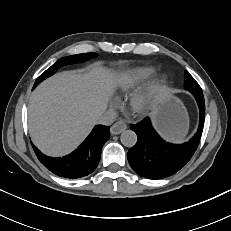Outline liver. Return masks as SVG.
<instances>
[{"instance_id": "obj_1", "label": "liver", "mask_w": 231, "mask_h": 231, "mask_svg": "<svg viewBox=\"0 0 231 231\" xmlns=\"http://www.w3.org/2000/svg\"><path fill=\"white\" fill-rule=\"evenodd\" d=\"M118 80L94 65L84 73L65 71L43 81L28 106L34 144L49 156L73 151L104 113Z\"/></svg>"}]
</instances>
